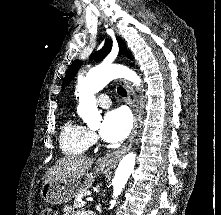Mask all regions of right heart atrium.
Returning <instances> with one entry per match:
<instances>
[{
    "label": "right heart atrium",
    "instance_id": "right-heart-atrium-1",
    "mask_svg": "<svg viewBox=\"0 0 221 215\" xmlns=\"http://www.w3.org/2000/svg\"><path fill=\"white\" fill-rule=\"evenodd\" d=\"M89 139H90V143H91V145L94 144V143L96 142L97 137H96V135H95L94 132L89 131Z\"/></svg>",
    "mask_w": 221,
    "mask_h": 215
}]
</instances>
